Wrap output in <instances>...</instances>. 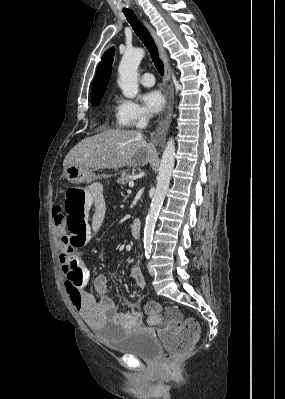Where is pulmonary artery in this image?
<instances>
[{"label": "pulmonary artery", "instance_id": "e3ab8cb5", "mask_svg": "<svg viewBox=\"0 0 285 399\" xmlns=\"http://www.w3.org/2000/svg\"><path fill=\"white\" fill-rule=\"evenodd\" d=\"M140 83L147 87L153 86L155 83L153 74L149 72L143 73L140 77Z\"/></svg>", "mask_w": 285, "mask_h": 399}]
</instances>
